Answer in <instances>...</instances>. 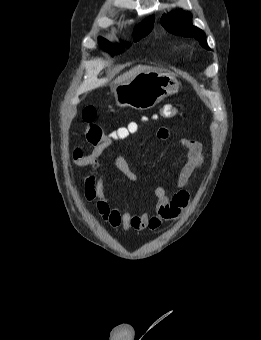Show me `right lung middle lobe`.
Instances as JSON below:
<instances>
[{
  "mask_svg": "<svg viewBox=\"0 0 261 340\" xmlns=\"http://www.w3.org/2000/svg\"><path fill=\"white\" fill-rule=\"evenodd\" d=\"M152 28H153V22L141 24L138 27H136L134 31V41H138L141 38L148 35L149 32L152 30ZM99 42L103 48H108L110 46V43L103 38H99ZM110 53L112 55L119 54L120 50L115 48L113 50H110Z\"/></svg>",
  "mask_w": 261,
  "mask_h": 340,
  "instance_id": "dd1d6c3e",
  "label": "right lung middle lobe"
}]
</instances>
